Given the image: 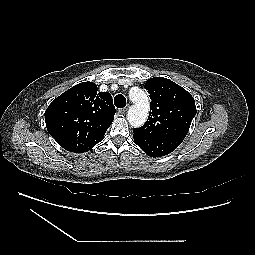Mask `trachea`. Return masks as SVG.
Listing matches in <instances>:
<instances>
[{"instance_id":"1","label":"trachea","mask_w":255,"mask_h":255,"mask_svg":"<svg viewBox=\"0 0 255 255\" xmlns=\"http://www.w3.org/2000/svg\"><path fill=\"white\" fill-rule=\"evenodd\" d=\"M114 104L117 108H124L126 106V98L122 94H118L114 98Z\"/></svg>"}]
</instances>
